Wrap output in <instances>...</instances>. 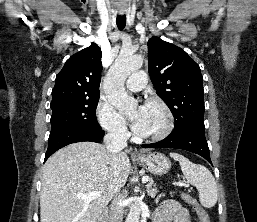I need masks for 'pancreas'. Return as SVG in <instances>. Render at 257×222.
Here are the masks:
<instances>
[{"mask_svg":"<svg viewBox=\"0 0 257 222\" xmlns=\"http://www.w3.org/2000/svg\"><path fill=\"white\" fill-rule=\"evenodd\" d=\"M147 193L152 198L156 196L157 194V188L154 187V181L152 178L149 179V183L147 184Z\"/></svg>","mask_w":257,"mask_h":222,"instance_id":"1","label":"pancreas"}]
</instances>
